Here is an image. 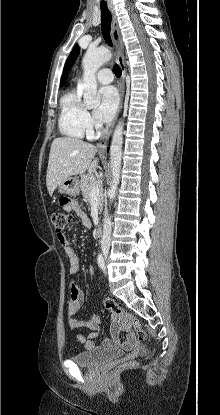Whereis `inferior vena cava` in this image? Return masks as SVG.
<instances>
[{
  "instance_id": "inferior-vena-cava-1",
  "label": "inferior vena cava",
  "mask_w": 220,
  "mask_h": 415,
  "mask_svg": "<svg viewBox=\"0 0 220 415\" xmlns=\"http://www.w3.org/2000/svg\"><path fill=\"white\" fill-rule=\"evenodd\" d=\"M111 231H112V222L108 218L105 220V223H104V234H103V239H102V249L105 251H109V248H110Z\"/></svg>"
}]
</instances>
